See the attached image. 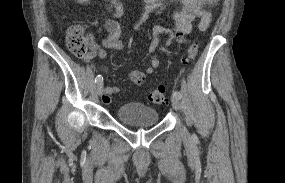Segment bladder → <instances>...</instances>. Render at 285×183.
<instances>
[{
    "label": "bladder",
    "instance_id": "1",
    "mask_svg": "<svg viewBox=\"0 0 285 183\" xmlns=\"http://www.w3.org/2000/svg\"><path fill=\"white\" fill-rule=\"evenodd\" d=\"M117 118L124 124L155 125L158 123V112L141 103H126L117 110Z\"/></svg>",
    "mask_w": 285,
    "mask_h": 183
}]
</instances>
